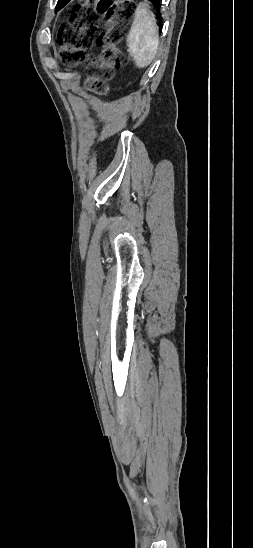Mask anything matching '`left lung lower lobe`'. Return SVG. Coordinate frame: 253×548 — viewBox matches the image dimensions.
I'll use <instances>...</instances> for the list:
<instances>
[{
  "label": "left lung lower lobe",
  "mask_w": 253,
  "mask_h": 548,
  "mask_svg": "<svg viewBox=\"0 0 253 548\" xmlns=\"http://www.w3.org/2000/svg\"><path fill=\"white\" fill-rule=\"evenodd\" d=\"M69 1L70 0H61L56 6V10L63 8ZM149 1L153 3L157 11L160 10L161 0H149Z\"/></svg>",
  "instance_id": "0a47b994"
}]
</instances>
